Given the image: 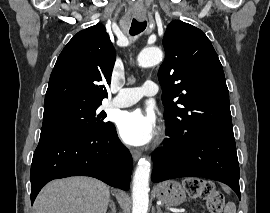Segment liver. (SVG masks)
I'll use <instances>...</instances> for the list:
<instances>
[{
  "mask_svg": "<svg viewBox=\"0 0 270 213\" xmlns=\"http://www.w3.org/2000/svg\"><path fill=\"white\" fill-rule=\"evenodd\" d=\"M109 187L96 179L71 177L47 184L37 196L35 213H106Z\"/></svg>",
  "mask_w": 270,
  "mask_h": 213,
  "instance_id": "1",
  "label": "liver"
}]
</instances>
